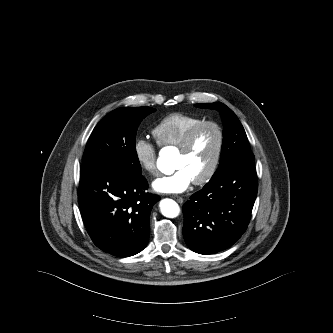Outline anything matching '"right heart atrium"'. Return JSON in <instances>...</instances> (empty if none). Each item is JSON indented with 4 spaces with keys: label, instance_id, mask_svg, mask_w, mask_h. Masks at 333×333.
Here are the masks:
<instances>
[{
    "label": "right heart atrium",
    "instance_id": "d8ad5b80",
    "mask_svg": "<svg viewBox=\"0 0 333 333\" xmlns=\"http://www.w3.org/2000/svg\"><path fill=\"white\" fill-rule=\"evenodd\" d=\"M133 152L138 165L148 174L155 176L157 168V149L146 138H136L133 143Z\"/></svg>",
    "mask_w": 333,
    "mask_h": 333
}]
</instances>
